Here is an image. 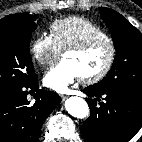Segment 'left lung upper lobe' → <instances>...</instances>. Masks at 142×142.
<instances>
[{
  "mask_svg": "<svg viewBox=\"0 0 142 142\" xmlns=\"http://www.w3.org/2000/svg\"><path fill=\"white\" fill-rule=\"evenodd\" d=\"M100 11L112 34L116 56L107 76L92 86L142 91V34L116 11L104 7Z\"/></svg>",
  "mask_w": 142,
  "mask_h": 142,
  "instance_id": "1",
  "label": "left lung upper lobe"
}]
</instances>
